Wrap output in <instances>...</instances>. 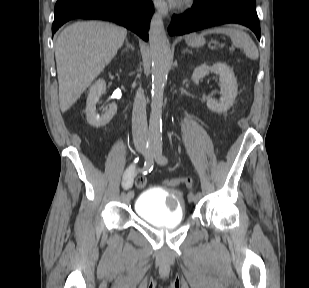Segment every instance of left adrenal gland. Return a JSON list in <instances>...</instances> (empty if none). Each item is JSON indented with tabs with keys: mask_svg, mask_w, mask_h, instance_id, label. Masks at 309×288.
<instances>
[{
	"mask_svg": "<svg viewBox=\"0 0 309 288\" xmlns=\"http://www.w3.org/2000/svg\"><path fill=\"white\" fill-rule=\"evenodd\" d=\"M190 53V54H192V51H190L189 49H185V50H183V53Z\"/></svg>",
	"mask_w": 309,
	"mask_h": 288,
	"instance_id": "left-adrenal-gland-1",
	"label": "left adrenal gland"
}]
</instances>
